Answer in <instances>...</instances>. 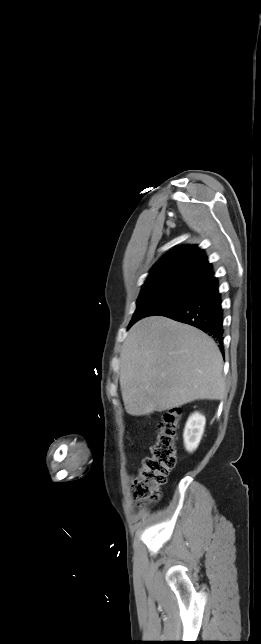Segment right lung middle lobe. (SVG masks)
I'll list each match as a JSON object with an SVG mask.
<instances>
[{"label":"right lung middle lobe","instance_id":"right-lung-middle-lobe-1","mask_svg":"<svg viewBox=\"0 0 261 644\" xmlns=\"http://www.w3.org/2000/svg\"><path fill=\"white\" fill-rule=\"evenodd\" d=\"M198 283L183 279H167L144 284L137 299V308L129 324L152 315H161L186 301Z\"/></svg>","mask_w":261,"mask_h":644}]
</instances>
